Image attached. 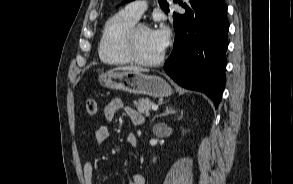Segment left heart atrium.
<instances>
[{"label":"left heart atrium","mask_w":293,"mask_h":184,"mask_svg":"<svg viewBox=\"0 0 293 184\" xmlns=\"http://www.w3.org/2000/svg\"><path fill=\"white\" fill-rule=\"evenodd\" d=\"M151 33L155 43L163 51L169 42L170 32L168 28L165 25H161L151 30Z\"/></svg>","instance_id":"1"}]
</instances>
